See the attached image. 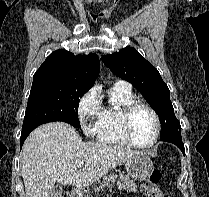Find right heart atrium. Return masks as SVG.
Here are the masks:
<instances>
[{
    "label": "right heart atrium",
    "instance_id": "d8ad5b80",
    "mask_svg": "<svg viewBox=\"0 0 209 197\" xmlns=\"http://www.w3.org/2000/svg\"><path fill=\"white\" fill-rule=\"evenodd\" d=\"M100 114V98L97 94V91L92 88L80 98L78 103V117L86 134H95V127Z\"/></svg>",
    "mask_w": 209,
    "mask_h": 197
}]
</instances>
